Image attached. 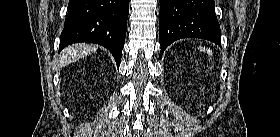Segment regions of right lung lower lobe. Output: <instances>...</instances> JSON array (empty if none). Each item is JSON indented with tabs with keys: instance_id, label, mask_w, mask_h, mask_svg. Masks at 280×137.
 <instances>
[{
	"instance_id": "right-lung-lower-lobe-1",
	"label": "right lung lower lobe",
	"mask_w": 280,
	"mask_h": 137,
	"mask_svg": "<svg viewBox=\"0 0 280 137\" xmlns=\"http://www.w3.org/2000/svg\"><path fill=\"white\" fill-rule=\"evenodd\" d=\"M60 51L76 42L107 48L119 67L125 43L129 0H69Z\"/></svg>"
}]
</instances>
